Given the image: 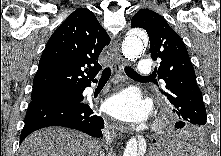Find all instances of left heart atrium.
<instances>
[{
    "instance_id": "39dd6f15",
    "label": "left heart atrium",
    "mask_w": 221,
    "mask_h": 156,
    "mask_svg": "<svg viewBox=\"0 0 221 156\" xmlns=\"http://www.w3.org/2000/svg\"><path fill=\"white\" fill-rule=\"evenodd\" d=\"M105 110L121 122L137 124L147 120L151 113V105L142 100L136 90L126 89L108 98Z\"/></svg>"
}]
</instances>
